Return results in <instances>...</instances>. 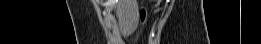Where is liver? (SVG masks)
Segmentation results:
<instances>
[{
  "label": "liver",
  "instance_id": "liver-1",
  "mask_svg": "<svg viewBox=\"0 0 261 44\" xmlns=\"http://www.w3.org/2000/svg\"><path fill=\"white\" fill-rule=\"evenodd\" d=\"M116 16L124 35L131 34L138 25L139 9L137 0H119Z\"/></svg>",
  "mask_w": 261,
  "mask_h": 44
}]
</instances>
